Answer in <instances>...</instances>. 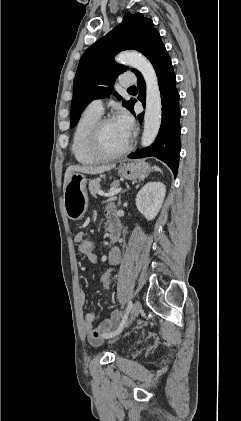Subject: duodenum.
Segmentation results:
<instances>
[{
	"label": "duodenum",
	"instance_id": "410a0bca",
	"mask_svg": "<svg viewBox=\"0 0 241 421\" xmlns=\"http://www.w3.org/2000/svg\"><path fill=\"white\" fill-rule=\"evenodd\" d=\"M108 229L110 239L113 242L117 241L121 236V225L119 220L115 217V215L110 216L108 218Z\"/></svg>",
	"mask_w": 241,
	"mask_h": 421
}]
</instances>
